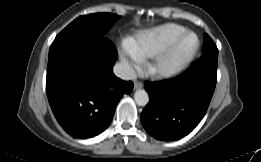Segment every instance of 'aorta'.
<instances>
[{"mask_svg": "<svg viewBox=\"0 0 261 162\" xmlns=\"http://www.w3.org/2000/svg\"><path fill=\"white\" fill-rule=\"evenodd\" d=\"M134 100L137 105L145 106L149 102L148 93L145 90H137L134 94Z\"/></svg>", "mask_w": 261, "mask_h": 162, "instance_id": "1", "label": "aorta"}]
</instances>
